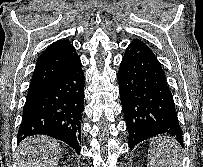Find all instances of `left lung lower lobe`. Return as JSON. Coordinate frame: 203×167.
<instances>
[{
	"label": "left lung lower lobe",
	"instance_id": "1",
	"mask_svg": "<svg viewBox=\"0 0 203 167\" xmlns=\"http://www.w3.org/2000/svg\"><path fill=\"white\" fill-rule=\"evenodd\" d=\"M129 147L155 136L183 146V132L164 71L151 49L136 39L128 46L117 74Z\"/></svg>",
	"mask_w": 203,
	"mask_h": 167
}]
</instances>
